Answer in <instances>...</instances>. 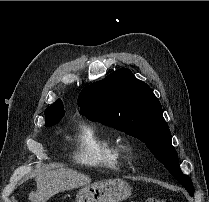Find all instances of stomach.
<instances>
[{
	"mask_svg": "<svg viewBox=\"0 0 209 202\" xmlns=\"http://www.w3.org/2000/svg\"><path fill=\"white\" fill-rule=\"evenodd\" d=\"M131 187L120 179L92 183L81 188L76 202H121L131 195Z\"/></svg>",
	"mask_w": 209,
	"mask_h": 202,
	"instance_id": "stomach-1",
	"label": "stomach"
}]
</instances>
